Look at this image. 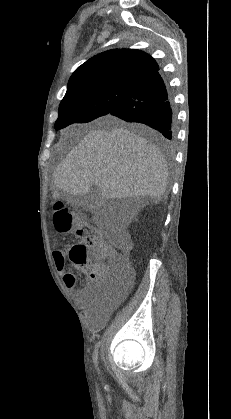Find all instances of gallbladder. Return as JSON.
<instances>
[{"mask_svg":"<svg viewBox=\"0 0 231 419\" xmlns=\"http://www.w3.org/2000/svg\"><path fill=\"white\" fill-rule=\"evenodd\" d=\"M63 198L75 206H92L95 205L98 200H100L98 188H93L87 195L79 197L65 193Z\"/></svg>","mask_w":231,"mask_h":419,"instance_id":"bac80fb5","label":"gallbladder"}]
</instances>
